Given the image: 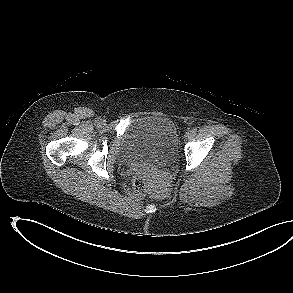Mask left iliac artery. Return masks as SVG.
Masks as SVG:
<instances>
[{"label": "left iliac artery", "instance_id": "1", "mask_svg": "<svg viewBox=\"0 0 293 293\" xmlns=\"http://www.w3.org/2000/svg\"><path fill=\"white\" fill-rule=\"evenodd\" d=\"M192 132V134H195L197 132V128H193L192 130H190Z\"/></svg>", "mask_w": 293, "mask_h": 293}]
</instances>
